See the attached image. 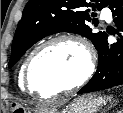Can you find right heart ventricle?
Instances as JSON below:
<instances>
[{"label":"right heart ventricle","mask_w":123,"mask_h":113,"mask_svg":"<svg viewBox=\"0 0 123 113\" xmlns=\"http://www.w3.org/2000/svg\"><path fill=\"white\" fill-rule=\"evenodd\" d=\"M24 64H25V62L20 67L19 72H18V83H19L20 87L24 86V82H23V68H24Z\"/></svg>","instance_id":"1"}]
</instances>
